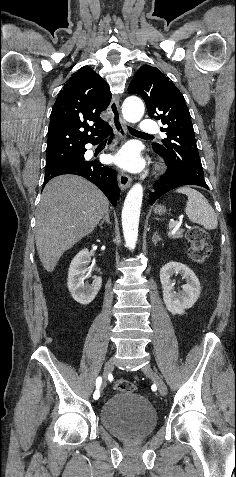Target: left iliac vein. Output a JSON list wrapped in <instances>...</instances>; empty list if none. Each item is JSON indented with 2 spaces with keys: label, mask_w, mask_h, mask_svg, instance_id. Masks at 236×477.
Here are the masks:
<instances>
[{
  "label": "left iliac vein",
  "mask_w": 236,
  "mask_h": 477,
  "mask_svg": "<svg viewBox=\"0 0 236 477\" xmlns=\"http://www.w3.org/2000/svg\"><path fill=\"white\" fill-rule=\"evenodd\" d=\"M142 371L147 377L151 378L156 383L159 394L161 396H166L167 386L165 382L163 381V379L154 372L152 367L149 364H147L142 368Z\"/></svg>",
  "instance_id": "obj_1"
}]
</instances>
